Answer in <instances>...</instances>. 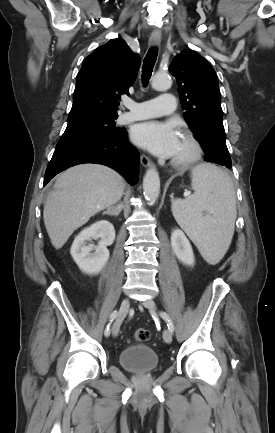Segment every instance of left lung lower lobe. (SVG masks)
<instances>
[{"instance_id": "0a47b994", "label": "left lung lower lobe", "mask_w": 275, "mask_h": 433, "mask_svg": "<svg viewBox=\"0 0 275 433\" xmlns=\"http://www.w3.org/2000/svg\"><path fill=\"white\" fill-rule=\"evenodd\" d=\"M223 166H226L228 168H231V162L230 163H224Z\"/></svg>"}]
</instances>
